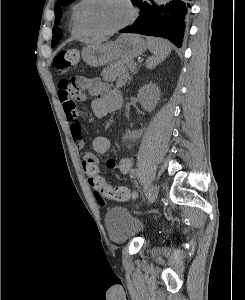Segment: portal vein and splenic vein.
I'll return each mask as SVG.
<instances>
[{
    "mask_svg": "<svg viewBox=\"0 0 245 300\" xmlns=\"http://www.w3.org/2000/svg\"><path fill=\"white\" fill-rule=\"evenodd\" d=\"M132 65H134V66H135L136 64H135V63H132Z\"/></svg>",
    "mask_w": 245,
    "mask_h": 300,
    "instance_id": "1",
    "label": "portal vein and splenic vein"
}]
</instances>
